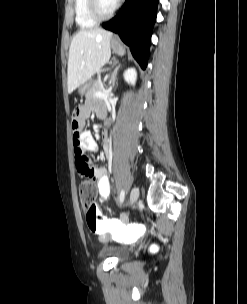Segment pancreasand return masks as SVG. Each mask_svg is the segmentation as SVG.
Instances as JSON below:
<instances>
[{
	"instance_id": "cf45deb5",
	"label": "pancreas",
	"mask_w": 247,
	"mask_h": 304,
	"mask_svg": "<svg viewBox=\"0 0 247 304\" xmlns=\"http://www.w3.org/2000/svg\"><path fill=\"white\" fill-rule=\"evenodd\" d=\"M97 91L107 92V89L104 88V84L101 81H94L81 89V92L85 94L87 99L95 98L94 93Z\"/></svg>"
}]
</instances>
